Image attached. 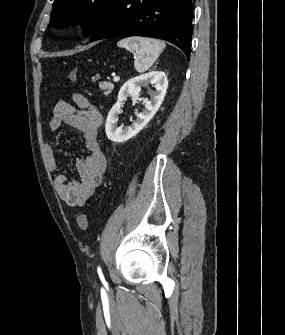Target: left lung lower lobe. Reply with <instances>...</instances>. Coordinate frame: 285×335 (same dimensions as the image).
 <instances>
[{
	"instance_id": "obj_1",
	"label": "left lung lower lobe",
	"mask_w": 285,
	"mask_h": 335,
	"mask_svg": "<svg viewBox=\"0 0 285 335\" xmlns=\"http://www.w3.org/2000/svg\"><path fill=\"white\" fill-rule=\"evenodd\" d=\"M192 0H115L100 20L90 42L121 36L163 39L190 59Z\"/></svg>"
}]
</instances>
